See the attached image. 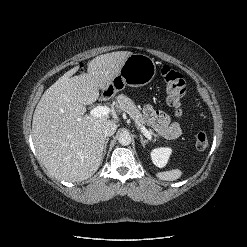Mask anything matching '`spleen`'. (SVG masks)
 Instances as JSON below:
<instances>
[{"mask_svg":"<svg viewBox=\"0 0 247 247\" xmlns=\"http://www.w3.org/2000/svg\"><path fill=\"white\" fill-rule=\"evenodd\" d=\"M156 176L160 180L175 181L182 176V171L180 169H173V170H169V171L158 172L156 174Z\"/></svg>","mask_w":247,"mask_h":247,"instance_id":"obj_1","label":"spleen"}]
</instances>
